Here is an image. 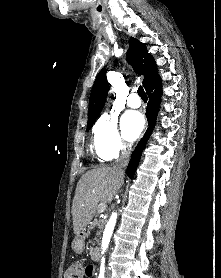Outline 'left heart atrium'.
<instances>
[{"instance_id": "obj_1", "label": "left heart atrium", "mask_w": 221, "mask_h": 278, "mask_svg": "<svg viewBox=\"0 0 221 278\" xmlns=\"http://www.w3.org/2000/svg\"><path fill=\"white\" fill-rule=\"evenodd\" d=\"M123 134L129 141L135 140L144 128V119L141 113L136 111L126 112L121 120Z\"/></svg>"}]
</instances>
